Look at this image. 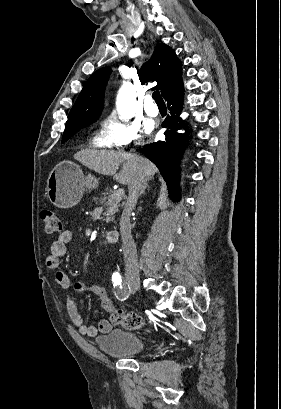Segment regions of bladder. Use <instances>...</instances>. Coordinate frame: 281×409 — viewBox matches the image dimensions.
Returning a JSON list of instances; mask_svg holds the SVG:
<instances>
[{"mask_svg": "<svg viewBox=\"0 0 281 409\" xmlns=\"http://www.w3.org/2000/svg\"><path fill=\"white\" fill-rule=\"evenodd\" d=\"M94 341L101 353L108 357L126 359L149 351L147 341L131 329L111 328L107 335H99Z\"/></svg>", "mask_w": 281, "mask_h": 409, "instance_id": "obj_1", "label": "bladder"}]
</instances>
